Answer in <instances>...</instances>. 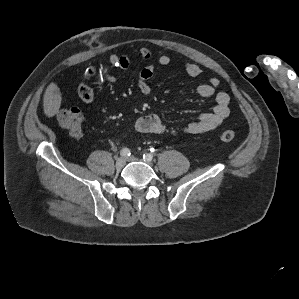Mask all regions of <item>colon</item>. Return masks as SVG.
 <instances>
[{
  "label": "colon",
  "mask_w": 299,
  "mask_h": 299,
  "mask_svg": "<svg viewBox=\"0 0 299 299\" xmlns=\"http://www.w3.org/2000/svg\"><path fill=\"white\" fill-rule=\"evenodd\" d=\"M57 121L73 137L82 135L83 113L79 108L74 106L61 108L57 113ZM235 137L236 133L233 130H224L218 134V139L224 142H230Z\"/></svg>",
  "instance_id": "1"
}]
</instances>
